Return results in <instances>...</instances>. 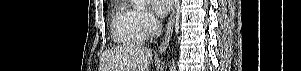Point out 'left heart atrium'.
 I'll return each instance as SVG.
<instances>
[{
    "instance_id": "left-heart-atrium-1",
    "label": "left heart atrium",
    "mask_w": 301,
    "mask_h": 71,
    "mask_svg": "<svg viewBox=\"0 0 301 71\" xmlns=\"http://www.w3.org/2000/svg\"><path fill=\"white\" fill-rule=\"evenodd\" d=\"M152 8L156 14L163 16L165 15L171 8L172 1L171 0H151Z\"/></svg>"
}]
</instances>
